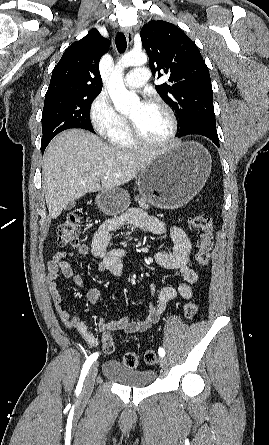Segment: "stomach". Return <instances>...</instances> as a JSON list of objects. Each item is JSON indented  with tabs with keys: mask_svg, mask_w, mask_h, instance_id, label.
Here are the masks:
<instances>
[{
	"mask_svg": "<svg viewBox=\"0 0 269 445\" xmlns=\"http://www.w3.org/2000/svg\"><path fill=\"white\" fill-rule=\"evenodd\" d=\"M208 151L196 142H178L164 148L139 173L142 199L161 209H177L189 203L203 188L211 171ZM96 204L108 216L124 213L130 205L122 188L102 190Z\"/></svg>",
	"mask_w": 269,
	"mask_h": 445,
	"instance_id": "0dacf381",
	"label": "stomach"
}]
</instances>
